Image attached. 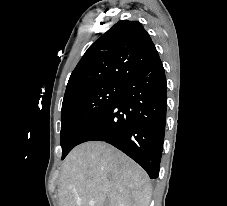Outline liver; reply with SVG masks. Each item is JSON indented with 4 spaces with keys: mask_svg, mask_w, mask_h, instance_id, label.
Listing matches in <instances>:
<instances>
[{
    "mask_svg": "<svg viewBox=\"0 0 227 206\" xmlns=\"http://www.w3.org/2000/svg\"><path fill=\"white\" fill-rule=\"evenodd\" d=\"M151 193L144 169L101 141L75 147L58 184L59 206H149Z\"/></svg>",
    "mask_w": 227,
    "mask_h": 206,
    "instance_id": "obj_1",
    "label": "liver"
}]
</instances>
